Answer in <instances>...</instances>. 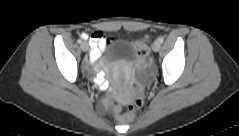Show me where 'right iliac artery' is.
Listing matches in <instances>:
<instances>
[{"label": "right iliac artery", "instance_id": "82829eb1", "mask_svg": "<svg viewBox=\"0 0 239 136\" xmlns=\"http://www.w3.org/2000/svg\"><path fill=\"white\" fill-rule=\"evenodd\" d=\"M81 42H82V40H81V39H79V40H78V43H81Z\"/></svg>", "mask_w": 239, "mask_h": 136}]
</instances>
